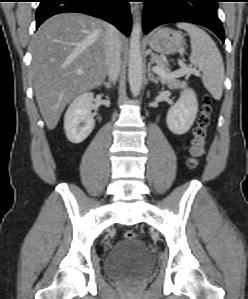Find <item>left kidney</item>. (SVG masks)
<instances>
[{"instance_id": "obj_1", "label": "left kidney", "mask_w": 248, "mask_h": 299, "mask_svg": "<svg viewBox=\"0 0 248 299\" xmlns=\"http://www.w3.org/2000/svg\"><path fill=\"white\" fill-rule=\"evenodd\" d=\"M198 112V101L192 89L181 92L180 98L167 113V126L176 135H183L193 125Z\"/></svg>"}]
</instances>
